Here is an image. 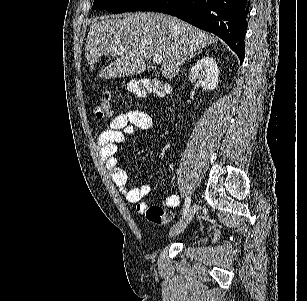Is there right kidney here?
Returning a JSON list of instances; mask_svg holds the SVG:
<instances>
[{
  "label": "right kidney",
  "mask_w": 307,
  "mask_h": 301,
  "mask_svg": "<svg viewBox=\"0 0 307 301\" xmlns=\"http://www.w3.org/2000/svg\"><path fill=\"white\" fill-rule=\"evenodd\" d=\"M189 80L200 84L203 88L214 90L219 82V68L215 58L203 56L197 60L189 72Z\"/></svg>",
  "instance_id": "ca27d5eb"
}]
</instances>
